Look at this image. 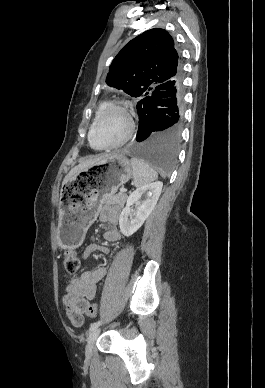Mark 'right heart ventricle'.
Masks as SVG:
<instances>
[{
    "instance_id": "obj_1",
    "label": "right heart ventricle",
    "mask_w": 265,
    "mask_h": 388,
    "mask_svg": "<svg viewBox=\"0 0 265 388\" xmlns=\"http://www.w3.org/2000/svg\"><path fill=\"white\" fill-rule=\"evenodd\" d=\"M108 105V103L107 102H105V103H102L100 106H99V108H98V110H97V115L106 107ZM90 132V131H89ZM88 139H89V135H88ZM89 142H90V140H89ZM91 143V142H90Z\"/></svg>"
}]
</instances>
